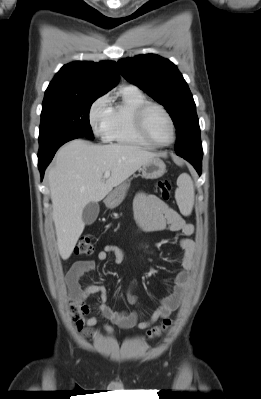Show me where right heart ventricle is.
<instances>
[{
  "label": "right heart ventricle",
  "instance_id": "e07e8e85",
  "mask_svg": "<svg viewBox=\"0 0 261 399\" xmlns=\"http://www.w3.org/2000/svg\"><path fill=\"white\" fill-rule=\"evenodd\" d=\"M146 96L136 87L127 86L120 90L119 101L111 104L110 126L107 140L121 144L151 147L136 132L135 110L147 102Z\"/></svg>",
  "mask_w": 261,
  "mask_h": 399
}]
</instances>
